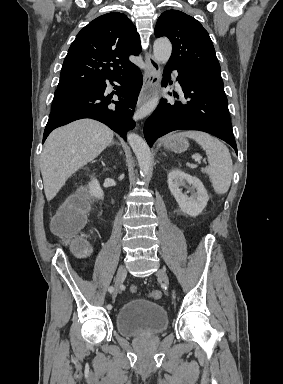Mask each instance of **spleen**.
Listing matches in <instances>:
<instances>
[{
    "instance_id": "spleen-1",
    "label": "spleen",
    "mask_w": 283,
    "mask_h": 384,
    "mask_svg": "<svg viewBox=\"0 0 283 384\" xmlns=\"http://www.w3.org/2000/svg\"><path fill=\"white\" fill-rule=\"evenodd\" d=\"M172 138H192L197 144H200L201 148L205 150L209 162V166L202 168L201 172L208 174L217 194H226L233 176V162L227 146L204 132H179Z\"/></svg>"
}]
</instances>
